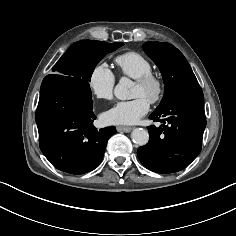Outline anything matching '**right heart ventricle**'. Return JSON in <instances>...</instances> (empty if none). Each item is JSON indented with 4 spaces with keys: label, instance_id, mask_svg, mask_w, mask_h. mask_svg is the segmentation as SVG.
Masks as SVG:
<instances>
[{
    "label": "right heart ventricle",
    "instance_id": "e07e8e85",
    "mask_svg": "<svg viewBox=\"0 0 236 236\" xmlns=\"http://www.w3.org/2000/svg\"><path fill=\"white\" fill-rule=\"evenodd\" d=\"M115 62L122 75L136 79L153 70L152 63L144 55L136 51H129L118 55Z\"/></svg>",
    "mask_w": 236,
    "mask_h": 236
}]
</instances>
